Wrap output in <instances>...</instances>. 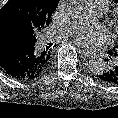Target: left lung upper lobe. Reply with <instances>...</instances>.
<instances>
[{"mask_svg":"<svg viewBox=\"0 0 118 118\" xmlns=\"http://www.w3.org/2000/svg\"><path fill=\"white\" fill-rule=\"evenodd\" d=\"M115 1L118 2V0H115ZM108 54L117 56L118 55V46L114 47L112 50L108 51Z\"/></svg>","mask_w":118,"mask_h":118,"instance_id":"1","label":"left lung upper lobe"}]
</instances>
